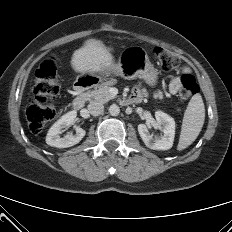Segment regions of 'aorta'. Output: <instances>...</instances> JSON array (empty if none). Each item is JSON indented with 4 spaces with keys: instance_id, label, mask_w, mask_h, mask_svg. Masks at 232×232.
Here are the masks:
<instances>
[{
    "instance_id": "obj_1",
    "label": "aorta",
    "mask_w": 232,
    "mask_h": 232,
    "mask_svg": "<svg viewBox=\"0 0 232 232\" xmlns=\"http://www.w3.org/2000/svg\"><path fill=\"white\" fill-rule=\"evenodd\" d=\"M109 113H110V115H112V116H117V115H119V113H120V108H119V106L116 105V104H112V105L109 107Z\"/></svg>"
}]
</instances>
